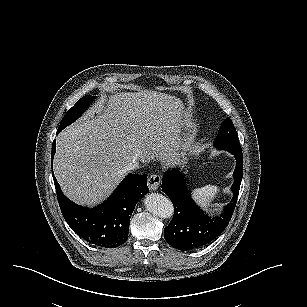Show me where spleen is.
Instances as JSON below:
<instances>
[{"mask_svg": "<svg viewBox=\"0 0 307 307\" xmlns=\"http://www.w3.org/2000/svg\"><path fill=\"white\" fill-rule=\"evenodd\" d=\"M219 188L214 185H206L202 188H196L192 191L193 199L199 204L204 210H208L210 203L214 200Z\"/></svg>", "mask_w": 307, "mask_h": 307, "instance_id": "obj_1", "label": "spleen"}]
</instances>
